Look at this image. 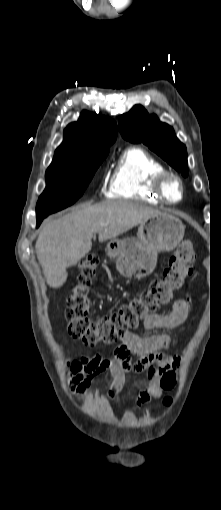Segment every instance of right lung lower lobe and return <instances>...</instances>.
Returning <instances> with one entry per match:
<instances>
[{"mask_svg": "<svg viewBox=\"0 0 221 510\" xmlns=\"http://www.w3.org/2000/svg\"><path fill=\"white\" fill-rule=\"evenodd\" d=\"M47 217V216H39V217H36L37 218V227H39V225L41 224L42 220Z\"/></svg>", "mask_w": 221, "mask_h": 510, "instance_id": "98d812e1", "label": "right lung lower lobe"}]
</instances>
